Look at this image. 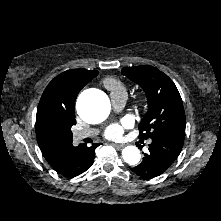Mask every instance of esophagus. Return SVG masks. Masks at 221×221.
Returning a JSON list of instances; mask_svg holds the SVG:
<instances>
[{"label":"esophagus","mask_w":221,"mask_h":221,"mask_svg":"<svg viewBox=\"0 0 221 221\" xmlns=\"http://www.w3.org/2000/svg\"><path fill=\"white\" fill-rule=\"evenodd\" d=\"M112 145L118 148H122L124 146L123 144H116V143H112Z\"/></svg>","instance_id":"34e87169"}]
</instances>
